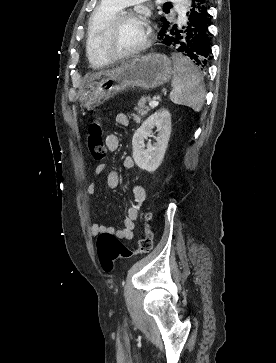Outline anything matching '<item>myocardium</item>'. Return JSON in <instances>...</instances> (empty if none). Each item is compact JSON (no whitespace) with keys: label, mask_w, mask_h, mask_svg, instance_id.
Listing matches in <instances>:
<instances>
[{"label":"myocardium","mask_w":276,"mask_h":363,"mask_svg":"<svg viewBox=\"0 0 276 363\" xmlns=\"http://www.w3.org/2000/svg\"><path fill=\"white\" fill-rule=\"evenodd\" d=\"M128 19H137L142 22L145 27V35L142 42L127 52L113 53L106 44L107 38L113 33V31L120 25L121 22ZM152 40V29L145 13L139 12L133 9H126L118 11L104 26L100 33L99 43L103 54L110 61H119L136 56L147 49Z\"/></svg>","instance_id":"myocardium-1"}]
</instances>
